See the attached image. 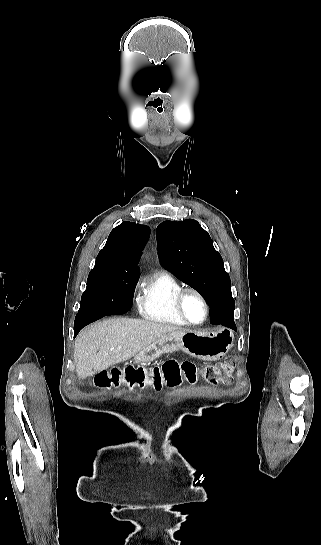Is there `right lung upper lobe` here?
<instances>
[{"label":"right lung upper lobe","mask_w":321,"mask_h":545,"mask_svg":"<svg viewBox=\"0 0 321 545\" xmlns=\"http://www.w3.org/2000/svg\"><path fill=\"white\" fill-rule=\"evenodd\" d=\"M149 236L148 226L129 221L123 222L109 234L91 272H106L116 277L138 279L137 265Z\"/></svg>","instance_id":"obj_1"}]
</instances>
